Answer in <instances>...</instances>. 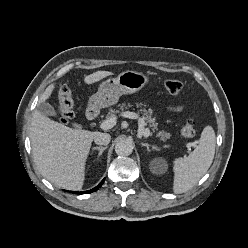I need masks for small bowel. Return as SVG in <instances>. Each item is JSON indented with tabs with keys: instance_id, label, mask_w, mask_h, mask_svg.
<instances>
[{
	"instance_id": "1",
	"label": "small bowel",
	"mask_w": 248,
	"mask_h": 248,
	"mask_svg": "<svg viewBox=\"0 0 248 248\" xmlns=\"http://www.w3.org/2000/svg\"><path fill=\"white\" fill-rule=\"evenodd\" d=\"M183 109L182 106H176V107H171V110H174V111H181Z\"/></svg>"
}]
</instances>
